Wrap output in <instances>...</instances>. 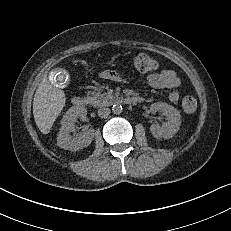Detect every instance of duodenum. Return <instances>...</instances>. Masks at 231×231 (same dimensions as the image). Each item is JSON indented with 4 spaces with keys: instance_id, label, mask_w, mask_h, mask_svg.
I'll return each mask as SVG.
<instances>
[{
    "instance_id": "410a0bca",
    "label": "duodenum",
    "mask_w": 231,
    "mask_h": 231,
    "mask_svg": "<svg viewBox=\"0 0 231 231\" xmlns=\"http://www.w3.org/2000/svg\"><path fill=\"white\" fill-rule=\"evenodd\" d=\"M143 100L137 96H128L120 99V102L127 105H135L141 103ZM87 101L82 96H75L72 98V104L76 108H83Z\"/></svg>"
}]
</instances>
